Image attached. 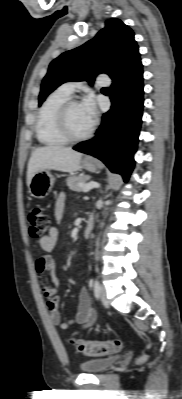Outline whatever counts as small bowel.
Returning <instances> with one entry per match:
<instances>
[{"label": "small bowel", "mask_w": 182, "mask_h": 399, "mask_svg": "<svg viewBox=\"0 0 182 399\" xmlns=\"http://www.w3.org/2000/svg\"><path fill=\"white\" fill-rule=\"evenodd\" d=\"M66 198L64 194H60L55 204V218L60 220L65 209ZM59 237L58 229L53 226L48 234L39 241L41 253L35 262L37 275L43 279L50 276V283H42V291L47 298V308L49 310L51 321L60 329L67 330L72 324L77 323L81 326H89L94 323L96 315L92 307L90 296L86 288H82L79 294V303L77 314L74 320L62 321L59 312L60 298L57 294L59 279L55 272V260L50 252L54 250Z\"/></svg>", "instance_id": "1"}]
</instances>
